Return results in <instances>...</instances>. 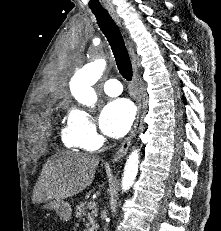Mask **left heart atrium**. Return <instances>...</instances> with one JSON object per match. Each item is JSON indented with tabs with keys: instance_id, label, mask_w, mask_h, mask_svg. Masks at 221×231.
<instances>
[{
	"instance_id": "1",
	"label": "left heart atrium",
	"mask_w": 221,
	"mask_h": 231,
	"mask_svg": "<svg viewBox=\"0 0 221 231\" xmlns=\"http://www.w3.org/2000/svg\"><path fill=\"white\" fill-rule=\"evenodd\" d=\"M134 119L132 104L125 99L109 102L100 114L99 124L104 134L112 138L124 136Z\"/></svg>"
}]
</instances>
